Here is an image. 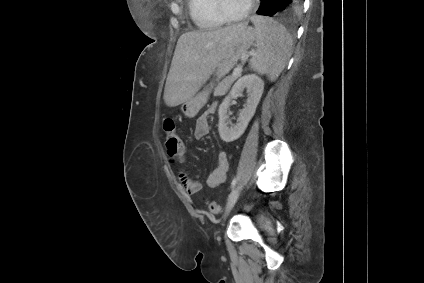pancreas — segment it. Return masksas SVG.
Listing matches in <instances>:
<instances>
[{
  "label": "pancreas",
  "mask_w": 424,
  "mask_h": 283,
  "mask_svg": "<svg viewBox=\"0 0 424 283\" xmlns=\"http://www.w3.org/2000/svg\"><path fill=\"white\" fill-rule=\"evenodd\" d=\"M238 76L230 75L218 83L214 89V96H223L231 87Z\"/></svg>",
  "instance_id": "pancreas-1"
}]
</instances>
